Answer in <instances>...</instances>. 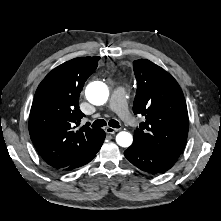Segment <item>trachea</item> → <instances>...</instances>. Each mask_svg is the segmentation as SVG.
I'll return each instance as SVG.
<instances>
[{
  "label": "trachea",
  "instance_id": "1",
  "mask_svg": "<svg viewBox=\"0 0 221 221\" xmlns=\"http://www.w3.org/2000/svg\"><path fill=\"white\" fill-rule=\"evenodd\" d=\"M106 125H107V123H106L105 120H103V119H98V120H96V121L92 124V127L99 128V127H103V126H106ZM108 125H109L110 127H112V128H119V127H120L119 122L116 121V120H113V119L108 122Z\"/></svg>",
  "mask_w": 221,
  "mask_h": 221
}]
</instances>
